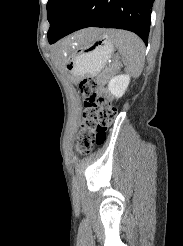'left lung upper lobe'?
Wrapping results in <instances>:
<instances>
[{
    "label": "left lung upper lobe",
    "instance_id": "5c2ea615",
    "mask_svg": "<svg viewBox=\"0 0 183 246\" xmlns=\"http://www.w3.org/2000/svg\"><path fill=\"white\" fill-rule=\"evenodd\" d=\"M80 1L81 0H48L47 17L50 23L48 41L61 32Z\"/></svg>",
    "mask_w": 183,
    "mask_h": 246
}]
</instances>
